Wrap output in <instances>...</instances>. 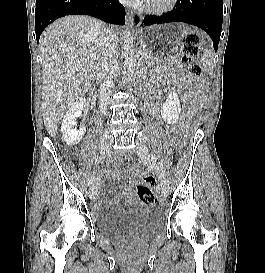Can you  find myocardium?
<instances>
[{
  "instance_id": "obj_1",
  "label": "myocardium",
  "mask_w": 265,
  "mask_h": 273,
  "mask_svg": "<svg viewBox=\"0 0 265 273\" xmlns=\"http://www.w3.org/2000/svg\"><path fill=\"white\" fill-rule=\"evenodd\" d=\"M178 0H167L162 5H153L149 2H145L143 9L151 14H164L170 12L177 5Z\"/></svg>"
}]
</instances>
